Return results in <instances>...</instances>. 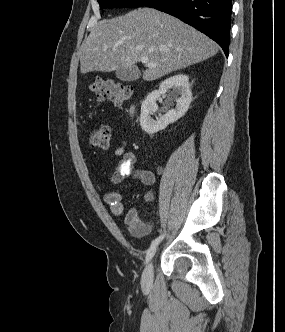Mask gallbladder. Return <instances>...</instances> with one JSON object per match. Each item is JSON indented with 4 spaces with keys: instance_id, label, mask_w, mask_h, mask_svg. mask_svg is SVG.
Returning a JSON list of instances; mask_svg holds the SVG:
<instances>
[{
    "instance_id": "1",
    "label": "gallbladder",
    "mask_w": 285,
    "mask_h": 332,
    "mask_svg": "<svg viewBox=\"0 0 285 332\" xmlns=\"http://www.w3.org/2000/svg\"><path fill=\"white\" fill-rule=\"evenodd\" d=\"M116 77L121 81H135L139 78L140 72L138 68L132 66L128 68H118L115 71Z\"/></svg>"
}]
</instances>
